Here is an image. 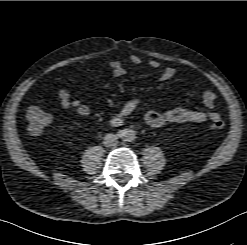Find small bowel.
Segmentation results:
<instances>
[{
	"mask_svg": "<svg viewBox=\"0 0 247 245\" xmlns=\"http://www.w3.org/2000/svg\"><path fill=\"white\" fill-rule=\"evenodd\" d=\"M129 61L133 65H140L142 63V58L137 55H132L129 58ZM148 64L154 69L160 67V62L156 59L149 60ZM109 67L116 77H123L127 73L126 68L120 61H111ZM175 74L176 70L173 67H166L162 71L161 80H171L174 78ZM58 97L63 108L74 109L81 117H87L90 114V107L79 99H73L71 93L67 89L61 88L58 91ZM202 100L204 105L210 109L209 112L183 107H177L165 111L151 110L145 113V122L151 127L158 128L168 123H202L207 120L214 122L220 119L219 113L215 110L217 104L216 94L211 90L205 91ZM141 101V96H134L126 100L122 104L119 112L112 118V123L115 125L121 123L136 110Z\"/></svg>",
	"mask_w": 247,
	"mask_h": 245,
	"instance_id": "small-bowel-1",
	"label": "small bowel"
}]
</instances>
